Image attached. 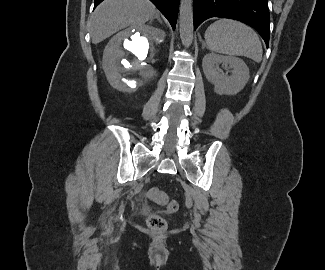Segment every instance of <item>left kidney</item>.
I'll return each mask as SVG.
<instances>
[{"label":"left kidney","instance_id":"left-kidney-1","mask_svg":"<svg viewBox=\"0 0 325 270\" xmlns=\"http://www.w3.org/2000/svg\"><path fill=\"white\" fill-rule=\"evenodd\" d=\"M218 64L229 66L231 75L222 74ZM202 68L208 81L214 85L217 94L234 95L240 92L249 80V69L245 62L236 57L214 53L205 55Z\"/></svg>","mask_w":325,"mask_h":270}]
</instances>
